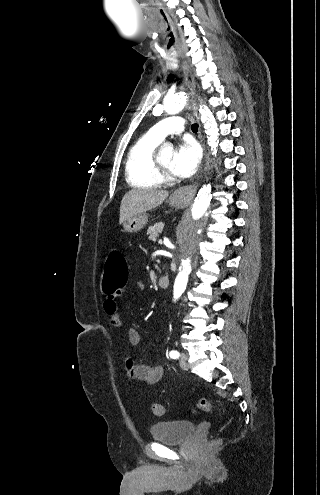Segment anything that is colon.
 <instances>
[{"label": "colon", "instance_id": "5ec220e1", "mask_svg": "<svg viewBox=\"0 0 320 495\" xmlns=\"http://www.w3.org/2000/svg\"><path fill=\"white\" fill-rule=\"evenodd\" d=\"M128 279V265L125 257L119 251H113L107 258L103 275V289L106 293L120 292ZM153 413L157 416L164 414L162 404L155 403L152 406ZM195 410L200 412H212L220 410L214 407L211 402L205 398L198 400L195 405ZM220 443L219 439L211 442L212 447H216Z\"/></svg>", "mask_w": 320, "mask_h": 495}]
</instances>
